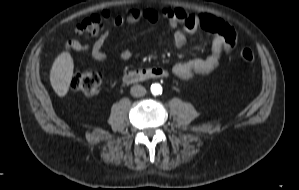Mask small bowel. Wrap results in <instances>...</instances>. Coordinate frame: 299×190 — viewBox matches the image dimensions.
<instances>
[{
	"label": "small bowel",
	"mask_w": 299,
	"mask_h": 190,
	"mask_svg": "<svg viewBox=\"0 0 299 190\" xmlns=\"http://www.w3.org/2000/svg\"><path fill=\"white\" fill-rule=\"evenodd\" d=\"M160 16V13L155 9H141L136 6H130L126 9V14L124 16L115 18L114 24L117 26L131 25L140 20L156 23L160 19ZM164 16L167 17L169 26L174 32L173 43L176 47H182L186 42V34L195 32L201 26V17L208 18V24L205 25L204 28L214 33L209 55L203 58L180 61L173 66V74L180 79L186 80L196 75L210 73L218 66L222 55L229 52L236 43L235 30L216 16L210 14L197 16L187 12L183 8L168 9L164 13ZM107 36L108 31L103 33L92 45L81 43L75 39H68L65 47L67 50H89L91 57L94 60L103 61L106 57L103 51V45ZM130 57L131 52L128 50L121 53L122 59H129Z\"/></svg>",
	"instance_id": "small-bowel-1"
}]
</instances>
